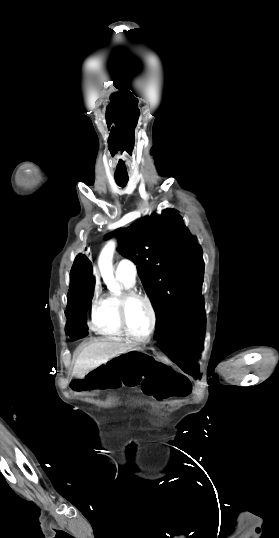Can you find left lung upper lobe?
<instances>
[{
  "label": "left lung upper lobe",
  "instance_id": "obj_1",
  "mask_svg": "<svg viewBox=\"0 0 279 538\" xmlns=\"http://www.w3.org/2000/svg\"><path fill=\"white\" fill-rule=\"evenodd\" d=\"M114 234L119 252L137 265L152 301L155 334H175L205 316L202 249L174 210L139 219Z\"/></svg>",
  "mask_w": 279,
  "mask_h": 538
}]
</instances>
